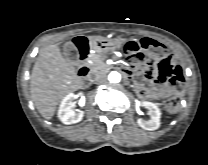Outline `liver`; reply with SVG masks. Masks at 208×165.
<instances>
[{
    "label": "liver",
    "mask_w": 208,
    "mask_h": 165,
    "mask_svg": "<svg viewBox=\"0 0 208 165\" xmlns=\"http://www.w3.org/2000/svg\"><path fill=\"white\" fill-rule=\"evenodd\" d=\"M100 37V36H98ZM69 42L65 46H69ZM31 97L38 112L50 120L63 98L81 87L75 67L61 54L58 44L44 47L31 74Z\"/></svg>",
    "instance_id": "liver-1"
}]
</instances>
